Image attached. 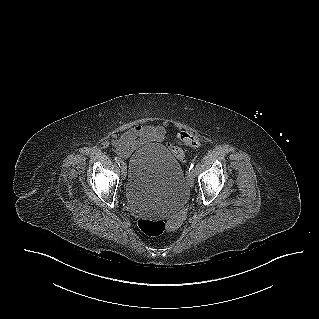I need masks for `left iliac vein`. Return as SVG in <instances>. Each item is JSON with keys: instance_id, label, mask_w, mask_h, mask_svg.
<instances>
[{"instance_id": "obj_1", "label": "left iliac vein", "mask_w": 319, "mask_h": 319, "mask_svg": "<svg viewBox=\"0 0 319 319\" xmlns=\"http://www.w3.org/2000/svg\"><path fill=\"white\" fill-rule=\"evenodd\" d=\"M187 181L190 187L194 186V176L192 173L187 174Z\"/></svg>"}]
</instances>
